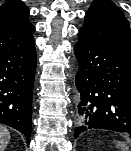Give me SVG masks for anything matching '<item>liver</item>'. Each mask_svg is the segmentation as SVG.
Segmentation results:
<instances>
[{"label":"liver","mask_w":131,"mask_h":151,"mask_svg":"<svg viewBox=\"0 0 131 151\" xmlns=\"http://www.w3.org/2000/svg\"><path fill=\"white\" fill-rule=\"evenodd\" d=\"M10 141V132L0 125V151H4Z\"/></svg>","instance_id":"1"}]
</instances>
